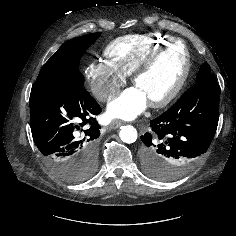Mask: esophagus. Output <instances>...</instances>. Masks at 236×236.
Wrapping results in <instances>:
<instances>
[{
  "mask_svg": "<svg viewBox=\"0 0 236 236\" xmlns=\"http://www.w3.org/2000/svg\"><path fill=\"white\" fill-rule=\"evenodd\" d=\"M122 124H123L122 121H120V120H114V121L110 124V127H111L112 129H116V128L120 127Z\"/></svg>",
  "mask_w": 236,
  "mask_h": 236,
  "instance_id": "34e87169",
  "label": "esophagus"
}]
</instances>
